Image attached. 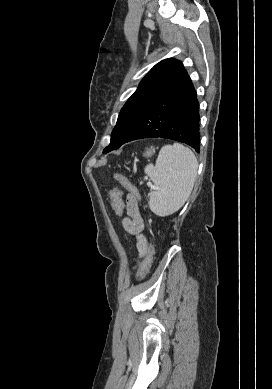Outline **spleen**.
Segmentation results:
<instances>
[{
	"label": "spleen",
	"instance_id": "3e777b00",
	"mask_svg": "<svg viewBox=\"0 0 272 389\" xmlns=\"http://www.w3.org/2000/svg\"><path fill=\"white\" fill-rule=\"evenodd\" d=\"M198 162L194 153L179 143L161 148L156 164L145 167L155 185L149 193V207L164 217L178 211L191 194Z\"/></svg>",
	"mask_w": 272,
	"mask_h": 389
}]
</instances>
